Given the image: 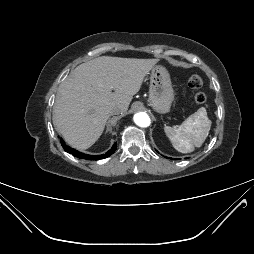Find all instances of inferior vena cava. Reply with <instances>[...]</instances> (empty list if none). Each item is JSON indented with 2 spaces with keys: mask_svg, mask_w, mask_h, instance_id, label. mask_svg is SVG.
I'll list each match as a JSON object with an SVG mask.
<instances>
[{
  "mask_svg": "<svg viewBox=\"0 0 254 254\" xmlns=\"http://www.w3.org/2000/svg\"><path fill=\"white\" fill-rule=\"evenodd\" d=\"M121 113V108L118 107V106H115L114 108H112L110 110V114L111 115H117V114H120Z\"/></svg>",
  "mask_w": 254,
  "mask_h": 254,
  "instance_id": "inferior-vena-cava-1",
  "label": "inferior vena cava"
}]
</instances>
